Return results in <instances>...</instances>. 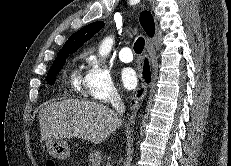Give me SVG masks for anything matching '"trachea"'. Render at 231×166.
<instances>
[{"instance_id":"trachea-1","label":"trachea","mask_w":231,"mask_h":166,"mask_svg":"<svg viewBox=\"0 0 231 166\" xmlns=\"http://www.w3.org/2000/svg\"><path fill=\"white\" fill-rule=\"evenodd\" d=\"M145 41L142 37L138 38L134 43V51L136 54H141L144 49Z\"/></svg>"}]
</instances>
